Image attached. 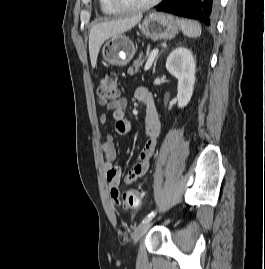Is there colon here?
<instances>
[{"instance_id":"colon-1","label":"colon","mask_w":265,"mask_h":269,"mask_svg":"<svg viewBox=\"0 0 265 269\" xmlns=\"http://www.w3.org/2000/svg\"><path fill=\"white\" fill-rule=\"evenodd\" d=\"M99 102L107 105L118 99L117 76L115 73L107 74L101 81L97 89ZM119 203L124 207H137L142 201V193L139 190H126L117 193Z\"/></svg>"}]
</instances>
